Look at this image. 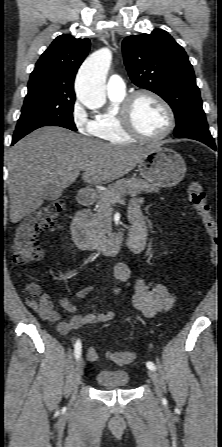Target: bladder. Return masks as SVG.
<instances>
[{
  "label": "bladder",
  "mask_w": 222,
  "mask_h": 447,
  "mask_svg": "<svg viewBox=\"0 0 222 447\" xmlns=\"http://www.w3.org/2000/svg\"><path fill=\"white\" fill-rule=\"evenodd\" d=\"M129 380V374L124 370H102L95 376L96 383L103 390L125 389Z\"/></svg>",
  "instance_id": "31cf9c89"
}]
</instances>
